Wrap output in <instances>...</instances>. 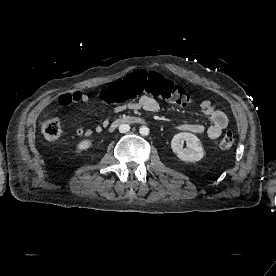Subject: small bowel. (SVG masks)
I'll use <instances>...</instances> for the list:
<instances>
[{"label": "small bowel", "mask_w": 276, "mask_h": 276, "mask_svg": "<svg viewBox=\"0 0 276 276\" xmlns=\"http://www.w3.org/2000/svg\"><path fill=\"white\" fill-rule=\"evenodd\" d=\"M90 98L87 94L75 91L71 93H64L59 97V104L63 107H70L72 105H85L89 102ZM160 107V102L150 96H142L137 100H133L127 103L119 104L114 108V113L121 112L125 109H144L148 112H156ZM201 110L204 115H206L210 121L211 125L206 128L201 124H183L179 126V129L185 132H190L194 134L207 133L209 138L217 139L222 134L223 130L227 128L229 120L227 115L216 108V106L209 100H205L201 104ZM70 121L77 125L76 134L79 137H89L95 131L97 133L101 132L105 123L96 125L94 129L85 128L78 125L74 118H70Z\"/></svg>", "instance_id": "obj_1"}]
</instances>
